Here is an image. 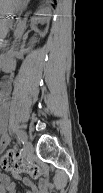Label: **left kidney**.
I'll return each mask as SVG.
<instances>
[{"label": "left kidney", "mask_w": 103, "mask_h": 193, "mask_svg": "<svg viewBox=\"0 0 103 193\" xmlns=\"http://www.w3.org/2000/svg\"><path fill=\"white\" fill-rule=\"evenodd\" d=\"M50 16H51V10L49 8H42L38 10L35 13V17L32 18L31 28L37 31L38 30L36 26L37 22L41 21L43 23H49ZM47 31H48V28L45 29L42 35L45 36Z\"/></svg>", "instance_id": "5707ae66"}]
</instances>
